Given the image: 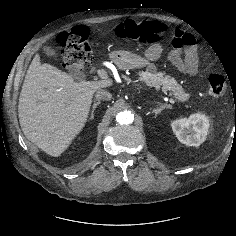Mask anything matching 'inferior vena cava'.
Instances as JSON below:
<instances>
[{"label":"inferior vena cava","instance_id":"1","mask_svg":"<svg viewBox=\"0 0 236 236\" xmlns=\"http://www.w3.org/2000/svg\"><path fill=\"white\" fill-rule=\"evenodd\" d=\"M96 100H111L112 94L106 90H98L95 94Z\"/></svg>","mask_w":236,"mask_h":236}]
</instances>
